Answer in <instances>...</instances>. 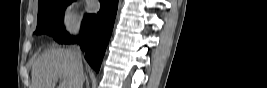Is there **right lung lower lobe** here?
Listing matches in <instances>:
<instances>
[{
    "label": "right lung lower lobe",
    "mask_w": 267,
    "mask_h": 88,
    "mask_svg": "<svg viewBox=\"0 0 267 88\" xmlns=\"http://www.w3.org/2000/svg\"><path fill=\"white\" fill-rule=\"evenodd\" d=\"M100 3L101 9L97 15L85 16L77 40L65 31L54 38L59 43L69 44L78 41L81 49L86 50L85 59L96 72L100 70L112 33L118 0H100Z\"/></svg>",
    "instance_id": "obj_1"
}]
</instances>
